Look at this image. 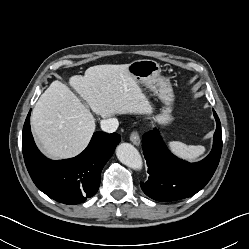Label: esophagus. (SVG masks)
<instances>
[{
	"mask_svg": "<svg viewBox=\"0 0 249 249\" xmlns=\"http://www.w3.org/2000/svg\"><path fill=\"white\" fill-rule=\"evenodd\" d=\"M130 140L136 146H139L140 143H141L140 136H139V134L136 131H133L131 133Z\"/></svg>",
	"mask_w": 249,
	"mask_h": 249,
	"instance_id": "obj_1",
	"label": "esophagus"
}]
</instances>
